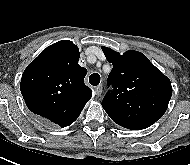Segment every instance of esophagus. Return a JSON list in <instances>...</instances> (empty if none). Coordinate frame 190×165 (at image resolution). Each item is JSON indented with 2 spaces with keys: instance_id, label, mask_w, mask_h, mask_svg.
Wrapping results in <instances>:
<instances>
[{
  "instance_id": "34e87169",
  "label": "esophagus",
  "mask_w": 190,
  "mask_h": 165,
  "mask_svg": "<svg viewBox=\"0 0 190 165\" xmlns=\"http://www.w3.org/2000/svg\"><path fill=\"white\" fill-rule=\"evenodd\" d=\"M94 93H95L96 96L99 97V96L101 95V93H102V86H101V85L96 86V87L94 88Z\"/></svg>"
}]
</instances>
